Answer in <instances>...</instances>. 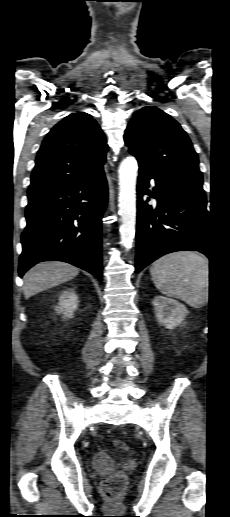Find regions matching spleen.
Listing matches in <instances>:
<instances>
[{"label": "spleen", "mask_w": 230, "mask_h": 517, "mask_svg": "<svg viewBox=\"0 0 230 517\" xmlns=\"http://www.w3.org/2000/svg\"><path fill=\"white\" fill-rule=\"evenodd\" d=\"M157 289L194 308L208 302L209 263L195 252H175L155 261L150 268Z\"/></svg>", "instance_id": "obj_1"}]
</instances>
